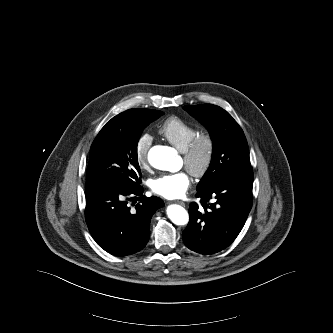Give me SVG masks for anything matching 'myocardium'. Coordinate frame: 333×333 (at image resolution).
I'll return each instance as SVG.
<instances>
[{
    "instance_id": "myocardium-1",
    "label": "myocardium",
    "mask_w": 333,
    "mask_h": 333,
    "mask_svg": "<svg viewBox=\"0 0 333 333\" xmlns=\"http://www.w3.org/2000/svg\"><path fill=\"white\" fill-rule=\"evenodd\" d=\"M215 152V142L211 134H197L183 151L184 164L188 171L201 178L209 171Z\"/></svg>"
}]
</instances>
